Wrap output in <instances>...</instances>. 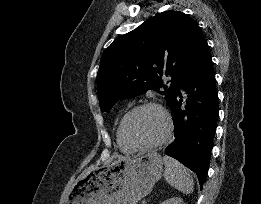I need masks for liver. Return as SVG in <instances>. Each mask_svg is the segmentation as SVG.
Segmentation results:
<instances>
[{"label": "liver", "mask_w": 261, "mask_h": 204, "mask_svg": "<svg viewBox=\"0 0 261 204\" xmlns=\"http://www.w3.org/2000/svg\"><path fill=\"white\" fill-rule=\"evenodd\" d=\"M94 168H95L94 166H91V167L85 172V174H87L88 172L92 171ZM85 174H84V175H85Z\"/></svg>", "instance_id": "obj_1"}]
</instances>
